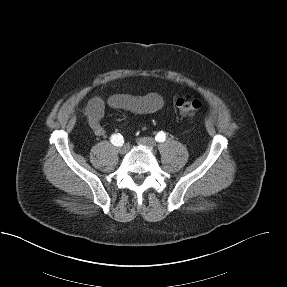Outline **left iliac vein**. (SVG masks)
<instances>
[{
    "label": "left iliac vein",
    "mask_w": 287,
    "mask_h": 287,
    "mask_svg": "<svg viewBox=\"0 0 287 287\" xmlns=\"http://www.w3.org/2000/svg\"><path fill=\"white\" fill-rule=\"evenodd\" d=\"M137 143L149 148H153L156 145V141L150 137H140L137 139Z\"/></svg>",
    "instance_id": "1"
}]
</instances>
